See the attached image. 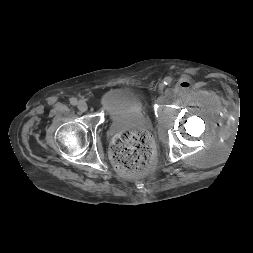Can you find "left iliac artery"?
I'll return each instance as SVG.
<instances>
[{"label":"left iliac artery","mask_w":253,"mask_h":253,"mask_svg":"<svg viewBox=\"0 0 253 253\" xmlns=\"http://www.w3.org/2000/svg\"><path fill=\"white\" fill-rule=\"evenodd\" d=\"M171 82H172V79H171L170 77L164 78V84H165V85H170Z\"/></svg>","instance_id":"obj_1"}]
</instances>
